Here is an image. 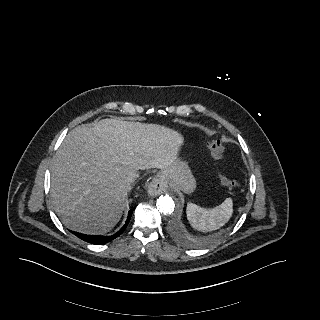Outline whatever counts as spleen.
<instances>
[{"instance_id":"1","label":"spleen","mask_w":320,"mask_h":320,"mask_svg":"<svg viewBox=\"0 0 320 320\" xmlns=\"http://www.w3.org/2000/svg\"><path fill=\"white\" fill-rule=\"evenodd\" d=\"M233 213V201L227 198L212 209L200 207L194 203L187 204V218L191 226L199 231L207 232L222 227Z\"/></svg>"}]
</instances>
